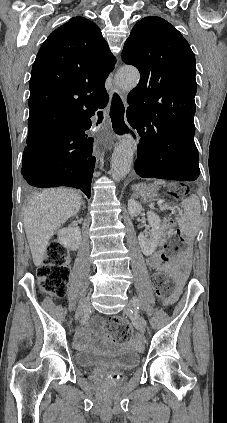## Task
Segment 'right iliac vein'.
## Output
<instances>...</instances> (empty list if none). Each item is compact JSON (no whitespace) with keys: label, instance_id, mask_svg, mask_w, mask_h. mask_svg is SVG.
<instances>
[{"label":"right iliac vein","instance_id":"right-iliac-vein-1","mask_svg":"<svg viewBox=\"0 0 227 423\" xmlns=\"http://www.w3.org/2000/svg\"><path fill=\"white\" fill-rule=\"evenodd\" d=\"M89 308H90V303H89V300L86 299L78 307V310H77V313H76V318L78 319L83 314V312L86 311Z\"/></svg>","mask_w":227,"mask_h":423}]
</instances>
